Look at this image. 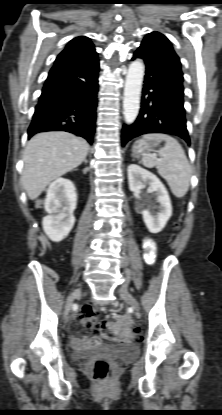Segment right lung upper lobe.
<instances>
[{"mask_svg": "<svg viewBox=\"0 0 222 415\" xmlns=\"http://www.w3.org/2000/svg\"><path fill=\"white\" fill-rule=\"evenodd\" d=\"M97 54L89 38L80 36L71 40L57 59L83 58Z\"/></svg>", "mask_w": 222, "mask_h": 415, "instance_id": "right-lung-upper-lobe-1", "label": "right lung upper lobe"}]
</instances>
